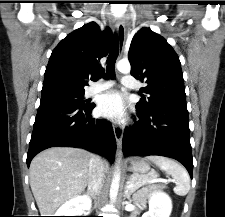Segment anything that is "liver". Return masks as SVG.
Here are the masks:
<instances>
[{"instance_id":"liver-1","label":"liver","mask_w":225,"mask_h":217,"mask_svg":"<svg viewBox=\"0 0 225 217\" xmlns=\"http://www.w3.org/2000/svg\"><path fill=\"white\" fill-rule=\"evenodd\" d=\"M91 157L92 154L83 149L52 147L33 158L29 180L41 216H53L59 206L84 191ZM103 163L107 173L109 164Z\"/></svg>"}]
</instances>
